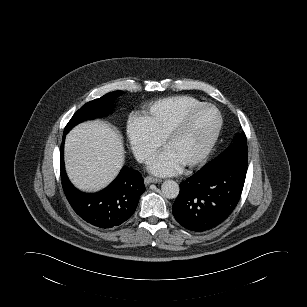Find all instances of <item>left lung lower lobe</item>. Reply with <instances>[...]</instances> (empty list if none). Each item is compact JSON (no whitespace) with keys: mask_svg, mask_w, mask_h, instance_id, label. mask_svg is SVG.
<instances>
[{"mask_svg":"<svg viewBox=\"0 0 307 307\" xmlns=\"http://www.w3.org/2000/svg\"><path fill=\"white\" fill-rule=\"evenodd\" d=\"M247 166L217 165L202 168L180 183L173 204L175 219L186 229L205 232L223 223L236 207Z\"/></svg>","mask_w":307,"mask_h":307,"instance_id":"left-lung-lower-lobe-1","label":"left lung lower lobe"}]
</instances>
